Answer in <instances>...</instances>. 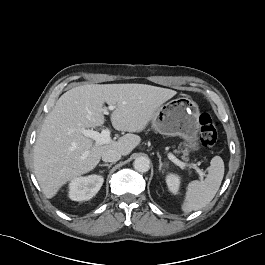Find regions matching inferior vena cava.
<instances>
[{"label":"inferior vena cava","instance_id":"602c4592","mask_svg":"<svg viewBox=\"0 0 265 265\" xmlns=\"http://www.w3.org/2000/svg\"><path fill=\"white\" fill-rule=\"evenodd\" d=\"M121 158V153L116 150H107L102 154L104 162H117Z\"/></svg>","mask_w":265,"mask_h":265}]
</instances>
